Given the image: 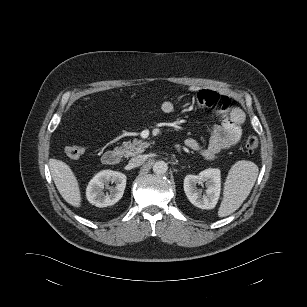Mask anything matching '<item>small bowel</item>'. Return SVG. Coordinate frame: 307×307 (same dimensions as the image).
<instances>
[{
    "instance_id": "obj_1",
    "label": "small bowel",
    "mask_w": 307,
    "mask_h": 307,
    "mask_svg": "<svg viewBox=\"0 0 307 307\" xmlns=\"http://www.w3.org/2000/svg\"><path fill=\"white\" fill-rule=\"evenodd\" d=\"M196 91L195 89H192ZM197 99L201 106L213 111L222 121L214 127L207 145L201 144L194 138H188L185 146L200 153L206 159H214L220 152L235 147L242 136V124L245 119L244 112L239 107L232 108V101L229 97L213 91L203 90L197 92ZM175 105L172 101L166 100L161 104V110L170 114L174 111Z\"/></svg>"
}]
</instances>
